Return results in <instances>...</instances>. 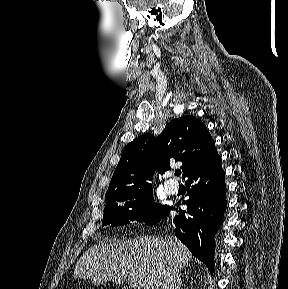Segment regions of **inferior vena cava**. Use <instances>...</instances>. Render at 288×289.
Here are the masks:
<instances>
[{
	"label": "inferior vena cava",
	"mask_w": 288,
	"mask_h": 289,
	"mask_svg": "<svg viewBox=\"0 0 288 289\" xmlns=\"http://www.w3.org/2000/svg\"><path fill=\"white\" fill-rule=\"evenodd\" d=\"M180 275L179 268L175 263L169 265L163 270L162 279L159 283V289H179Z\"/></svg>",
	"instance_id": "inferior-vena-cava-1"
}]
</instances>
